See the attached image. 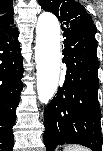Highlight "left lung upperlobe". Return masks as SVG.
Returning <instances> with one entry per match:
<instances>
[{"instance_id": "left-lung-upper-lobe-1", "label": "left lung upper lobe", "mask_w": 103, "mask_h": 151, "mask_svg": "<svg viewBox=\"0 0 103 151\" xmlns=\"http://www.w3.org/2000/svg\"><path fill=\"white\" fill-rule=\"evenodd\" d=\"M41 8L59 19L63 31L73 30L95 35L97 28L85 8L75 0H39Z\"/></svg>"}]
</instances>
